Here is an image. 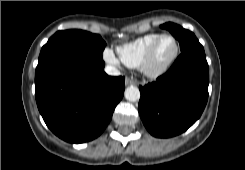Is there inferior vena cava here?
<instances>
[{"instance_id":"602c4592","label":"inferior vena cava","mask_w":245,"mask_h":170,"mask_svg":"<svg viewBox=\"0 0 245 170\" xmlns=\"http://www.w3.org/2000/svg\"><path fill=\"white\" fill-rule=\"evenodd\" d=\"M105 72L111 76H119L120 75V71L116 67L111 66V65H107L105 67Z\"/></svg>"}]
</instances>
